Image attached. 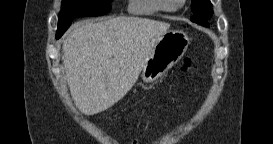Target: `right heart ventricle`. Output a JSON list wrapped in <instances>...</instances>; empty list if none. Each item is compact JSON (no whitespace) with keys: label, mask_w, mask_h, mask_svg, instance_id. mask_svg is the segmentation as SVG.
Instances as JSON below:
<instances>
[{"label":"right heart ventricle","mask_w":273,"mask_h":144,"mask_svg":"<svg viewBox=\"0 0 273 144\" xmlns=\"http://www.w3.org/2000/svg\"><path fill=\"white\" fill-rule=\"evenodd\" d=\"M130 13L139 16H152L160 9L156 0H131L128 5Z\"/></svg>","instance_id":"e07e8e85"}]
</instances>
